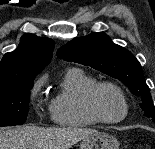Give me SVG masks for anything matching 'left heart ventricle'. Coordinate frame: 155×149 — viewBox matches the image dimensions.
I'll return each instance as SVG.
<instances>
[{
    "mask_svg": "<svg viewBox=\"0 0 155 149\" xmlns=\"http://www.w3.org/2000/svg\"><path fill=\"white\" fill-rule=\"evenodd\" d=\"M96 105L101 115L106 119H116L122 116L124 104L118 92L108 86L101 87L96 94Z\"/></svg>",
    "mask_w": 155,
    "mask_h": 149,
    "instance_id": "b2bd125f",
    "label": "left heart ventricle"
}]
</instances>
